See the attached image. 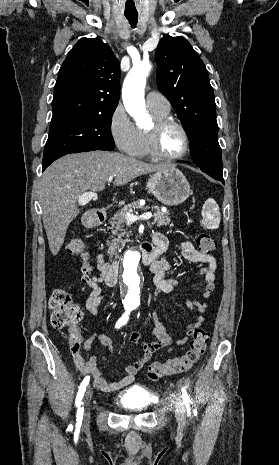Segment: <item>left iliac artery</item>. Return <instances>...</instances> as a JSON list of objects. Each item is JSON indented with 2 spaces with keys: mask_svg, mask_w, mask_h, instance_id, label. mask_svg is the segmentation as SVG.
Wrapping results in <instances>:
<instances>
[{
  "mask_svg": "<svg viewBox=\"0 0 279 465\" xmlns=\"http://www.w3.org/2000/svg\"><path fill=\"white\" fill-rule=\"evenodd\" d=\"M137 306H134V308H136ZM133 308V309H134ZM182 398H183V401H184V404L186 405V408H187V412L188 414L190 415L191 412H190V406H189V403L191 402L188 394H187V391L185 389V387L182 388Z\"/></svg>",
  "mask_w": 279,
  "mask_h": 465,
  "instance_id": "left-iliac-artery-1",
  "label": "left iliac artery"
}]
</instances>
